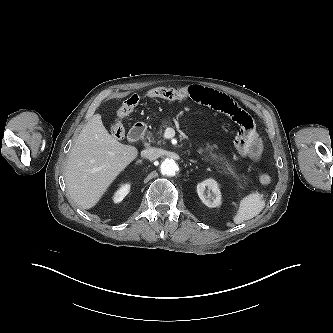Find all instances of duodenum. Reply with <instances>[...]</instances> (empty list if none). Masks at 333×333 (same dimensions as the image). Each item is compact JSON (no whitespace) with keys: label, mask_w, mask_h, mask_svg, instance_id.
Returning <instances> with one entry per match:
<instances>
[{"label":"duodenum","mask_w":333,"mask_h":333,"mask_svg":"<svg viewBox=\"0 0 333 333\" xmlns=\"http://www.w3.org/2000/svg\"><path fill=\"white\" fill-rule=\"evenodd\" d=\"M145 132H146V125L143 123H138L130 129L128 133V139L131 142L139 141L140 139L143 138Z\"/></svg>","instance_id":"410a0bca"}]
</instances>
